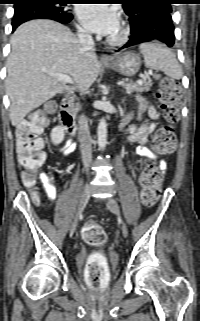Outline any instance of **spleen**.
<instances>
[{"label": "spleen", "instance_id": "3e777b00", "mask_svg": "<svg viewBox=\"0 0 200 321\" xmlns=\"http://www.w3.org/2000/svg\"><path fill=\"white\" fill-rule=\"evenodd\" d=\"M139 49L143 55L145 67L163 71L167 76L179 80L182 69L171 49L159 43H142Z\"/></svg>", "mask_w": 200, "mask_h": 321}]
</instances>
